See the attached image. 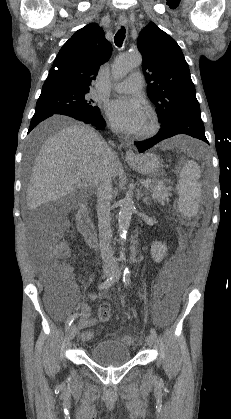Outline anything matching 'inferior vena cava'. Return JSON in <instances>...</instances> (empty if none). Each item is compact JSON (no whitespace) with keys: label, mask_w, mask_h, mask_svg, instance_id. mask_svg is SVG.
Here are the masks:
<instances>
[{"label":"inferior vena cava","mask_w":231,"mask_h":419,"mask_svg":"<svg viewBox=\"0 0 231 419\" xmlns=\"http://www.w3.org/2000/svg\"><path fill=\"white\" fill-rule=\"evenodd\" d=\"M114 132L117 130L114 129ZM106 148V155L112 159L116 156L112 141L109 142ZM112 198V178L105 170L101 175L100 182L97 186V215L99 228V247L103 264L106 266H115L116 261L111 249V226H110V201Z\"/></svg>","instance_id":"obj_1"}]
</instances>
